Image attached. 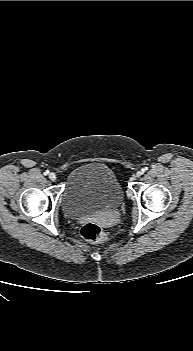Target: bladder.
I'll return each instance as SVG.
<instances>
[{
    "mask_svg": "<svg viewBox=\"0 0 193 351\" xmlns=\"http://www.w3.org/2000/svg\"><path fill=\"white\" fill-rule=\"evenodd\" d=\"M123 189L115 173L101 163H87L68 176L61 208L70 218L97 213L120 205Z\"/></svg>",
    "mask_w": 193,
    "mask_h": 351,
    "instance_id": "1",
    "label": "bladder"
}]
</instances>
